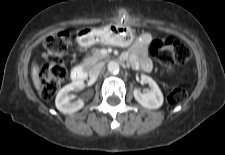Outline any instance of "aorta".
Segmentation results:
<instances>
[{"mask_svg": "<svg viewBox=\"0 0 225 155\" xmlns=\"http://www.w3.org/2000/svg\"><path fill=\"white\" fill-rule=\"evenodd\" d=\"M107 69L110 73H118L120 70V65L116 61H110L107 65Z\"/></svg>", "mask_w": 225, "mask_h": 155, "instance_id": "762f6f07", "label": "aorta"}]
</instances>
